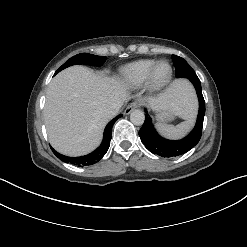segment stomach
<instances>
[{
    "label": "stomach",
    "instance_id": "0dacf381",
    "mask_svg": "<svg viewBox=\"0 0 247 247\" xmlns=\"http://www.w3.org/2000/svg\"><path fill=\"white\" fill-rule=\"evenodd\" d=\"M154 111L159 123L172 121L176 117V114L170 107L156 108Z\"/></svg>",
    "mask_w": 247,
    "mask_h": 247
}]
</instances>
